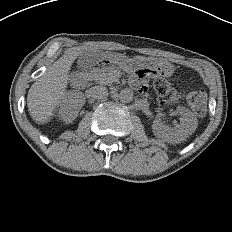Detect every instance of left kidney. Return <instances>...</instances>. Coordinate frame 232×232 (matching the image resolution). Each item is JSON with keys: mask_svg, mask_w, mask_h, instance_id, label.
<instances>
[{"mask_svg": "<svg viewBox=\"0 0 232 232\" xmlns=\"http://www.w3.org/2000/svg\"><path fill=\"white\" fill-rule=\"evenodd\" d=\"M176 112L181 116L180 124L171 127L164 120V115H158L153 121L152 129L156 136L172 141L184 140L197 128V118L195 114L183 106H177Z\"/></svg>", "mask_w": 232, "mask_h": 232, "instance_id": "1", "label": "left kidney"}]
</instances>
